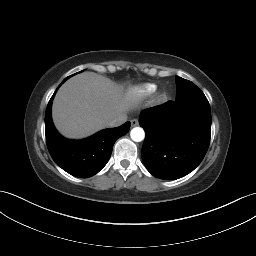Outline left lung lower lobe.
<instances>
[{"mask_svg": "<svg viewBox=\"0 0 256 256\" xmlns=\"http://www.w3.org/2000/svg\"><path fill=\"white\" fill-rule=\"evenodd\" d=\"M139 124L145 130L141 156L155 177L175 180L193 171L210 143L211 110L203 93L145 109Z\"/></svg>", "mask_w": 256, "mask_h": 256, "instance_id": "0a47b994", "label": "left lung lower lobe"}]
</instances>
